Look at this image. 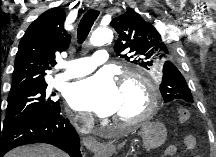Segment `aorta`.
<instances>
[{"instance_id":"aorta-1","label":"aorta","mask_w":216,"mask_h":157,"mask_svg":"<svg viewBox=\"0 0 216 157\" xmlns=\"http://www.w3.org/2000/svg\"><path fill=\"white\" fill-rule=\"evenodd\" d=\"M113 38V33L108 28H98L96 29L90 38V42L94 46H102L108 42H111ZM108 154H106L107 156Z\"/></svg>"}]
</instances>
